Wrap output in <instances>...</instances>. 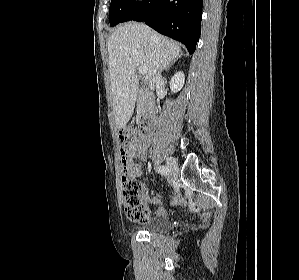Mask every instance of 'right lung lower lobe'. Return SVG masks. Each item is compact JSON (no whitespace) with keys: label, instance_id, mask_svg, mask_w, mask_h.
<instances>
[{"label":"right lung lower lobe","instance_id":"right-lung-lower-lobe-1","mask_svg":"<svg viewBox=\"0 0 299 280\" xmlns=\"http://www.w3.org/2000/svg\"><path fill=\"white\" fill-rule=\"evenodd\" d=\"M202 0H143L125 21H144L159 33L182 42L190 54L201 33Z\"/></svg>","mask_w":299,"mask_h":280}]
</instances>
